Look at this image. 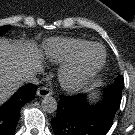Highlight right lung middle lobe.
Instances as JSON below:
<instances>
[{
  "label": "right lung middle lobe",
  "instance_id": "obj_1",
  "mask_svg": "<svg viewBox=\"0 0 135 135\" xmlns=\"http://www.w3.org/2000/svg\"><path fill=\"white\" fill-rule=\"evenodd\" d=\"M9 28H10V25L0 27V35H3Z\"/></svg>",
  "mask_w": 135,
  "mask_h": 135
}]
</instances>
